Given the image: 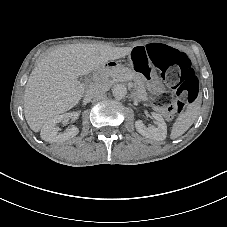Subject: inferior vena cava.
<instances>
[{"mask_svg": "<svg viewBox=\"0 0 227 227\" xmlns=\"http://www.w3.org/2000/svg\"><path fill=\"white\" fill-rule=\"evenodd\" d=\"M89 91L94 98H101L105 94V89L98 83H95Z\"/></svg>", "mask_w": 227, "mask_h": 227, "instance_id": "602c4592", "label": "inferior vena cava"}]
</instances>
